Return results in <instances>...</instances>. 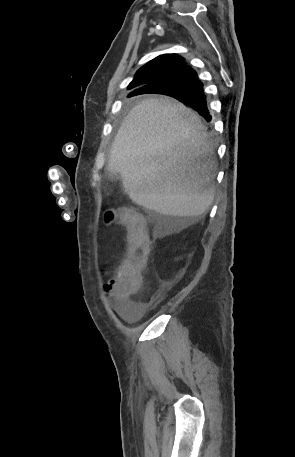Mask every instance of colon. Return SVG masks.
I'll return each instance as SVG.
<instances>
[{
    "label": "colon",
    "mask_w": 295,
    "mask_h": 457,
    "mask_svg": "<svg viewBox=\"0 0 295 457\" xmlns=\"http://www.w3.org/2000/svg\"><path fill=\"white\" fill-rule=\"evenodd\" d=\"M106 221L118 219L128 230V252L114 277L105 283V289L116 298L132 297L140 288L141 272L144 269L150 242L143 217L138 212L124 208L118 212L108 211Z\"/></svg>",
    "instance_id": "1"
}]
</instances>
